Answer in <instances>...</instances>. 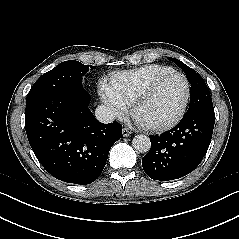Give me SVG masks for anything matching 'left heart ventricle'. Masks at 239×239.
Returning a JSON list of instances; mask_svg holds the SVG:
<instances>
[{
  "mask_svg": "<svg viewBox=\"0 0 239 239\" xmlns=\"http://www.w3.org/2000/svg\"><path fill=\"white\" fill-rule=\"evenodd\" d=\"M185 91L180 76L173 75L164 79L139 107L137 120L143 124H158L172 119L182 105Z\"/></svg>",
  "mask_w": 239,
  "mask_h": 239,
  "instance_id": "b2bd125f",
  "label": "left heart ventricle"
}]
</instances>
